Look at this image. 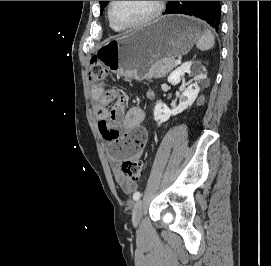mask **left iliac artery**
I'll return each instance as SVG.
<instances>
[{
	"label": "left iliac artery",
	"mask_w": 271,
	"mask_h": 266,
	"mask_svg": "<svg viewBox=\"0 0 271 266\" xmlns=\"http://www.w3.org/2000/svg\"><path fill=\"white\" fill-rule=\"evenodd\" d=\"M140 197H141V193H140L139 191H137V192H135V193L133 194V199H134L135 201L139 200Z\"/></svg>",
	"instance_id": "obj_1"
}]
</instances>
